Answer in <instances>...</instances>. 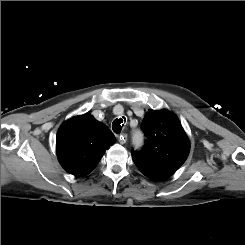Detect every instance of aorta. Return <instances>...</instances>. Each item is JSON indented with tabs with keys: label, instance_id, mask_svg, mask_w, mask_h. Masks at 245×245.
I'll list each match as a JSON object with an SVG mask.
<instances>
[{
	"label": "aorta",
	"instance_id": "1",
	"mask_svg": "<svg viewBox=\"0 0 245 245\" xmlns=\"http://www.w3.org/2000/svg\"><path fill=\"white\" fill-rule=\"evenodd\" d=\"M133 144L139 146L143 141V136L140 131H136L132 137Z\"/></svg>",
	"mask_w": 245,
	"mask_h": 245
}]
</instances>
